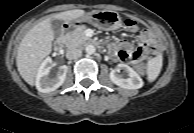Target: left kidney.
<instances>
[{"label": "left kidney", "instance_id": "5707ae66", "mask_svg": "<svg viewBox=\"0 0 194 133\" xmlns=\"http://www.w3.org/2000/svg\"><path fill=\"white\" fill-rule=\"evenodd\" d=\"M119 69H123L127 73V77L123 78L117 73ZM111 81L123 89H139L143 86V81L136 71L127 64H119L117 69L110 72Z\"/></svg>", "mask_w": 194, "mask_h": 133}]
</instances>
